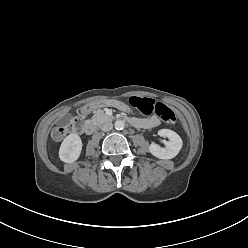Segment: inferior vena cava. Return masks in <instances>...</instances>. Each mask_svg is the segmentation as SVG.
<instances>
[{
	"mask_svg": "<svg viewBox=\"0 0 248 248\" xmlns=\"http://www.w3.org/2000/svg\"><path fill=\"white\" fill-rule=\"evenodd\" d=\"M113 128V124L111 122H106L101 126V130L104 132L110 131Z\"/></svg>",
	"mask_w": 248,
	"mask_h": 248,
	"instance_id": "obj_1",
	"label": "inferior vena cava"
}]
</instances>
